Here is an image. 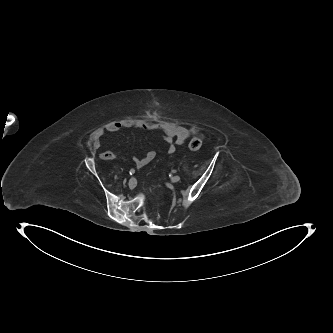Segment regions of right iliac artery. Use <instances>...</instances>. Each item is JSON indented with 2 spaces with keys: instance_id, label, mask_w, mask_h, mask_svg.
<instances>
[{
  "instance_id": "obj_1",
  "label": "right iliac artery",
  "mask_w": 333,
  "mask_h": 333,
  "mask_svg": "<svg viewBox=\"0 0 333 333\" xmlns=\"http://www.w3.org/2000/svg\"><path fill=\"white\" fill-rule=\"evenodd\" d=\"M134 173H135V169H133V168L130 169L129 174H130V175H133Z\"/></svg>"
}]
</instances>
